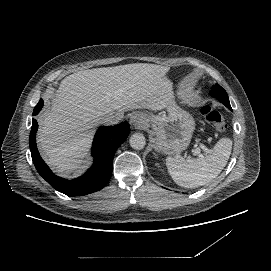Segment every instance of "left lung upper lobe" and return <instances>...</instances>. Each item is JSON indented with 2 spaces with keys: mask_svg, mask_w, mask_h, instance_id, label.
Masks as SVG:
<instances>
[{
  "mask_svg": "<svg viewBox=\"0 0 271 271\" xmlns=\"http://www.w3.org/2000/svg\"><path fill=\"white\" fill-rule=\"evenodd\" d=\"M210 94L212 96L216 97L221 103H223L228 109L231 110L228 95H227L226 91L219 84H216L212 88V90L210 91Z\"/></svg>",
  "mask_w": 271,
  "mask_h": 271,
  "instance_id": "left-lung-upper-lobe-1",
  "label": "left lung upper lobe"
}]
</instances>
